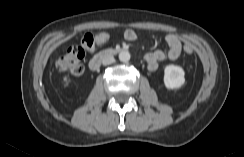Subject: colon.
Masks as SVG:
<instances>
[{
  "label": "colon",
  "instance_id": "colon-1",
  "mask_svg": "<svg viewBox=\"0 0 244 157\" xmlns=\"http://www.w3.org/2000/svg\"><path fill=\"white\" fill-rule=\"evenodd\" d=\"M110 39V34L100 32L98 34L87 33L80 38L78 45L69 47L63 54L56 59V68L64 73L73 76H79L83 72V59L86 50H93L97 46L106 43ZM184 52L191 54L193 48L191 45L184 46Z\"/></svg>",
  "mask_w": 244,
  "mask_h": 157
}]
</instances>
